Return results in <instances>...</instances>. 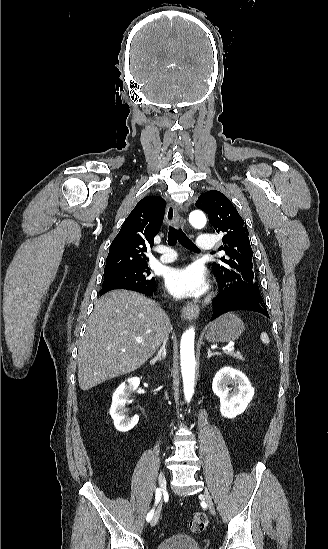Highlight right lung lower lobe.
<instances>
[{"label": "right lung lower lobe", "instance_id": "98d812e1", "mask_svg": "<svg viewBox=\"0 0 328 549\" xmlns=\"http://www.w3.org/2000/svg\"><path fill=\"white\" fill-rule=\"evenodd\" d=\"M157 290V287H156V283L151 286L150 288L148 289H138V290H135L137 292H140V293H143V294H146V295H153V293Z\"/></svg>", "mask_w": 328, "mask_h": 549}]
</instances>
